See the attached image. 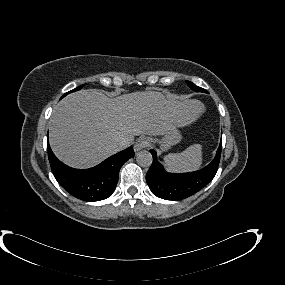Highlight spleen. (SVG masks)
Returning <instances> with one entry per match:
<instances>
[{
  "label": "spleen",
  "instance_id": "spleen-1",
  "mask_svg": "<svg viewBox=\"0 0 285 285\" xmlns=\"http://www.w3.org/2000/svg\"><path fill=\"white\" fill-rule=\"evenodd\" d=\"M164 162L171 172H189L198 170L203 163L202 145L189 146L181 153H170Z\"/></svg>",
  "mask_w": 285,
  "mask_h": 285
}]
</instances>
